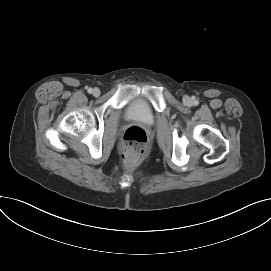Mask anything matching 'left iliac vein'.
<instances>
[{"label":"left iliac vein","mask_w":271,"mask_h":271,"mask_svg":"<svg viewBox=\"0 0 271 271\" xmlns=\"http://www.w3.org/2000/svg\"><path fill=\"white\" fill-rule=\"evenodd\" d=\"M184 101H185L186 104H189L191 102V100L189 98H185Z\"/></svg>","instance_id":"1"}]
</instances>
